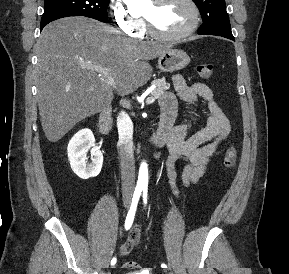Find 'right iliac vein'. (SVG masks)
Masks as SVG:
<instances>
[{"mask_svg": "<svg viewBox=\"0 0 289 274\" xmlns=\"http://www.w3.org/2000/svg\"><path fill=\"white\" fill-rule=\"evenodd\" d=\"M125 204H126V207H129V205H130V198H126Z\"/></svg>", "mask_w": 289, "mask_h": 274, "instance_id": "63e3f726", "label": "right iliac vein"}]
</instances>
